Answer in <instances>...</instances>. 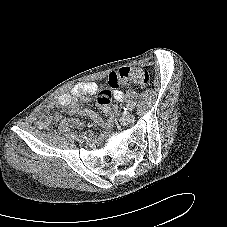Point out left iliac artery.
I'll use <instances>...</instances> for the list:
<instances>
[{"instance_id":"left-iliac-artery-1","label":"left iliac artery","mask_w":227,"mask_h":227,"mask_svg":"<svg viewBox=\"0 0 227 227\" xmlns=\"http://www.w3.org/2000/svg\"><path fill=\"white\" fill-rule=\"evenodd\" d=\"M126 111H132L133 110V106L131 104H127L126 108H124Z\"/></svg>"}]
</instances>
